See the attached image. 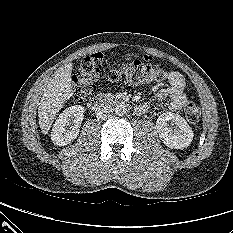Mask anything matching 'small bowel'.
Returning <instances> with one entry per match:
<instances>
[{"instance_id": "c3829d8e", "label": "small bowel", "mask_w": 233, "mask_h": 233, "mask_svg": "<svg viewBox=\"0 0 233 233\" xmlns=\"http://www.w3.org/2000/svg\"><path fill=\"white\" fill-rule=\"evenodd\" d=\"M168 87L156 93L154 100L161 102L168 99V108L170 110H180L187 104L185 94L186 82L184 77L175 71L168 73ZM146 110V107L143 106Z\"/></svg>"}]
</instances>
